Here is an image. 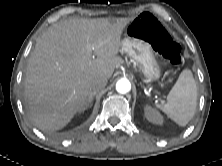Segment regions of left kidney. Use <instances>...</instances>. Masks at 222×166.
<instances>
[{"mask_svg":"<svg viewBox=\"0 0 222 166\" xmlns=\"http://www.w3.org/2000/svg\"><path fill=\"white\" fill-rule=\"evenodd\" d=\"M144 114L149 122L157 125H162L163 117L156 109L147 105L144 107Z\"/></svg>","mask_w":222,"mask_h":166,"instance_id":"5707ae66","label":"left kidney"}]
</instances>
